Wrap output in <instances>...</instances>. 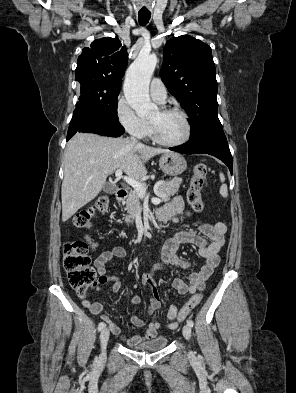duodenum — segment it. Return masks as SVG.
Segmentation results:
<instances>
[{
	"mask_svg": "<svg viewBox=\"0 0 296 393\" xmlns=\"http://www.w3.org/2000/svg\"><path fill=\"white\" fill-rule=\"evenodd\" d=\"M128 192L126 189L124 188H120L117 190L116 192V197L119 201H123L127 198ZM158 218L160 220H166V218L163 217V215L160 213V211L158 212Z\"/></svg>",
	"mask_w": 296,
	"mask_h": 393,
	"instance_id": "410a0bca",
	"label": "duodenum"
}]
</instances>
